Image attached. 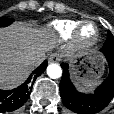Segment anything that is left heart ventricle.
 Here are the masks:
<instances>
[{
    "label": "left heart ventricle",
    "instance_id": "1",
    "mask_svg": "<svg viewBox=\"0 0 114 114\" xmlns=\"http://www.w3.org/2000/svg\"><path fill=\"white\" fill-rule=\"evenodd\" d=\"M83 36L90 37L93 34V28L91 26H86L82 31Z\"/></svg>",
    "mask_w": 114,
    "mask_h": 114
}]
</instances>
